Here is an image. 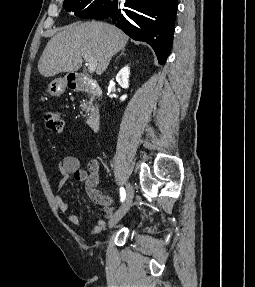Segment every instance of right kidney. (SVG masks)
<instances>
[{"mask_svg":"<svg viewBox=\"0 0 255 287\" xmlns=\"http://www.w3.org/2000/svg\"><path fill=\"white\" fill-rule=\"evenodd\" d=\"M130 70L128 66H125V68H122L120 72H118L116 76V82L120 84L121 88H128V78H129ZM127 96H121L120 100L121 102H124L126 100Z\"/></svg>","mask_w":255,"mask_h":287,"instance_id":"obj_1","label":"right kidney"}]
</instances>
